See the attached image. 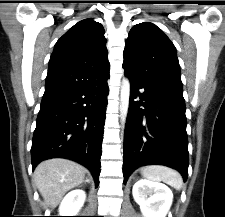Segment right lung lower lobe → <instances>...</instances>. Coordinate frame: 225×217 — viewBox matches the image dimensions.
Masks as SVG:
<instances>
[{
  "label": "right lung lower lobe",
  "mask_w": 225,
  "mask_h": 217,
  "mask_svg": "<svg viewBox=\"0 0 225 217\" xmlns=\"http://www.w3.org/2000/svg\"><path fill=\"white\" fill-rule=\"evenodd\" d=\"M109 88L107 79L85 88L43 96L32 140L33 169L62 157L87 167L99 184Z\"/></svg>",
  "instance_id": "right-lung-lower-lobe-1"
}]
</instances>
